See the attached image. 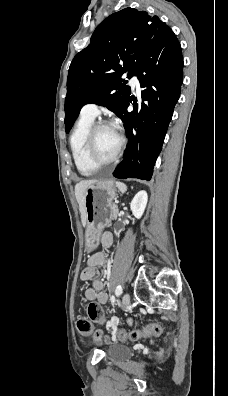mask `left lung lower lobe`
Wrapping results in <instances>:
<instances>
[{
	"instance_id": "left-lung-lower-lobe-1",
	"label": "left lung lower lobe",
	"mask_w": 228,
	"mask_h": 396,
	"mask_svg": "<svg viewBox=\"0 0 228 396\" xmlns=\"http://www.w3.org/2000/svg\"><path fill=\"white\" fill-rule=\"evenodd\" d=\"M136 76L143 101L138 109L131 96L123 110L120 119L129 141L113 176L149 181L183 81L181 46L171 29L153 39ZM132 101L134 110L128 112Z\"/></svg>"
}]
</instances>
